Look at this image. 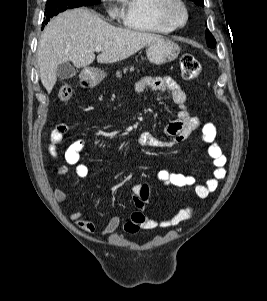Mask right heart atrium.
<instances>
[{
	"instance_id": "1",
	"label": "right heart atrium",
	"mask_w": 267,
	"mask_h": 301,
	"mask_svg": "<svg viewBox=\"0 0 267 301\" xmlns=\"http://www.w3.org/2000/svg\"><path fill=\"white\" fill-rule=\"evenodd\" d=\"M109 13L110 17L119 20L122 18V12L119 8L120 0H101Z\"/></svg>"
}]
</instances>
